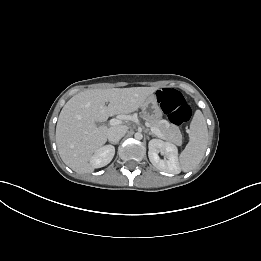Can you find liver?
<instances>
[{"label":"liver","instance_id":"liver-1","mask_svg":"<svg viewBox=\"0 0 261 261\" xmlns=\"http://www.w3.org/2000/svg\"><path fill=\"white\" fill-rule=\"evenodd\" d=\"M156 90L91 89L74 95L62 108L56 126V144L63 162L77 173L93 172L90 159L106 143L108 131L106 126L97 127L96 122L138 110Z\"/></svg>","mask_w":261,"mask_h":261}]
</instances>
